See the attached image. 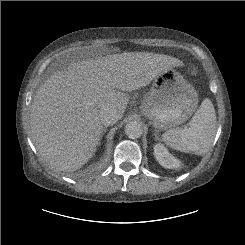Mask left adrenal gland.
Masks as SVG:
<instances>
[{"mask_svg": "<svg viewBox=\"0 0 245 245\" xmlns=\"http://www.w3.org/2000/svg\"><path fill=\"white\" fill-rule=\"evenodd\" d=\"M154 135H155V140H159V138H158L157 134H156V133H154Z\"/></svg>", "mask_w": 245, "mask_h": 245, "instance_id": "obj_1", "label": "left adrenal gland"}]
</instances>
